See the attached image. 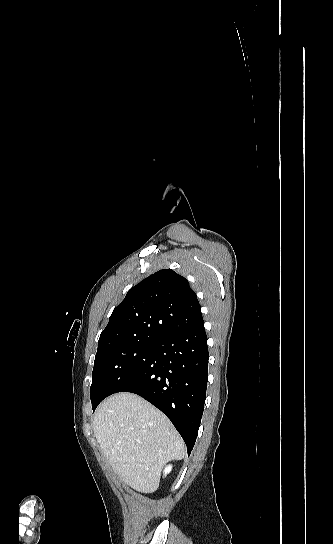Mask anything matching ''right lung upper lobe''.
<instances>
[{"label": "right lung upper lobe", "instance_id": "obj_1", "mask_svg": "<svg viewBox=\"0 0 333 544\" xmlns=\"http://www.w3.org/2000/svg\"><path fill=\"white\" fill-rule=\"evenodd\" d=\"M201 319L200 304L188 281L163 269L131 288L113 310L96 354L129 343L158 341Z\"/></svg>", "mask_w": 333, "mask_h": 544}]
</instances>
